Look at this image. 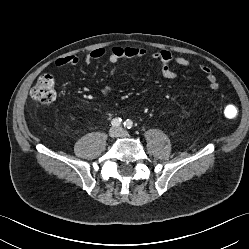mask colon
I'll return each mask as SVG.
<instances>
[{"label": "colon", "mask_w": 249, "mask_h": 249, "mask_svg": "<svg viewBox=\"0 0 249 249\" xmlns=\"http://www.w3.org/2000/svg\"><path fill=\"white\" fill-rule=\"evenodd\" d=\"M32 98L43 106L50 105L56 97L55 81L51 74H43L31 91ZM237 109L235 106H228L225 109L224 116L227 119L235 117Z\"/></svg>", "instance_id": "obj_1"}]
</instances>
